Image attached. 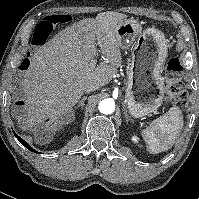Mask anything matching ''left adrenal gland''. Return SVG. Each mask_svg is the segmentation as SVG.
Returning <instances> with one entry per match:
<instances>
[{"mask_svg": "<svg viewBox=\"0 0 199 199\" xmlns=\"http://www.w3.org/2000/svg\"><path fill=\"white\" fill-rule=\"evenodd\" d=\"M124 116H125V119H126V122L128 123L129 121L133 122L132 119H130V117L128 116L127 114V110L125 108V105H124Z\"/></svg>", "mask_w": 199, "mask_h": 199, "instance_id": "obj_1", "label": "left adrenal gland"}]
</instances>
